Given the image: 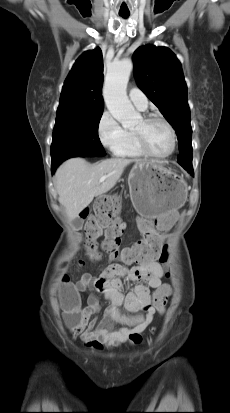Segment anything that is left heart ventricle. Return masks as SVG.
Listing matches in <instances>:
<instances>
[{
	"instance_id": "1",
	"label": "left heart ventricle",
	"mask_w": 230,
	"mask_h": 413,
	"mask_svg": "<svg viewBox=\"0 0 230 413\" xmlns=\"http://www.w3.org/2000/svg\"><path fill=\"white\" fill-rule=\"evenodd\" d=\"M134 131L142 133L149 148L159 154L168 152L171 148V134L168 127L161 121L144 123L143 119L135 126Z\"/></svg>"
}]
</instances>
